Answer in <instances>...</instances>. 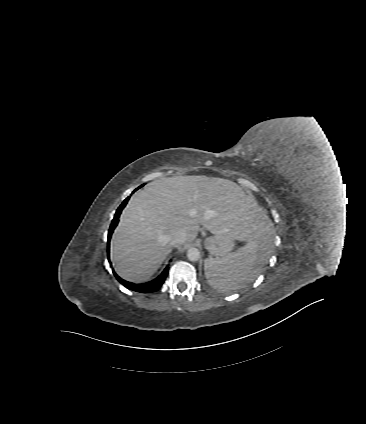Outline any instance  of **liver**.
Returning a JSON list of instances; mask_svg holds the SVG:
<instances>
[{"mask_svg":"<svg viewBox=\"0 0 366 424\" xmlns=\"http://www.w3.org/2000/svg\"><path fill=\"white\" fill-rule=\"evenodd\" d=\"M240 242H267L271 224L254 197L233 181L199 176L159 179L134 194L111 239V259L123 279H149L172 251L170 238L186 233L193 241L200 227Z\"/></svg>","mask_w":366,"mask_h":424,"instance_id":"1","label":"liver"}]
</instances>
